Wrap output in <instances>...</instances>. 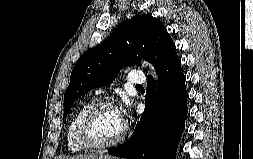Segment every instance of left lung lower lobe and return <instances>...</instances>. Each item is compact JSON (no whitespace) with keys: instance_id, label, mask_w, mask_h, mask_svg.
Instances as JSON below:
<instances>
[{"instance_id":"0a47b994","label":"left lung lower lobe","mask_w":253,"mask_h":159,"mask_svg":"<svg viewBox=\"0 0 253 159\" xmlns=\"http://www.w3.org/2000/svg\"><path fill=\"white\" fill-rule=\"evenodd\" d=\"M159 91L148 77L145 111L131 138L108 152L127 159H175L188 112L185 76L175 53L158 71Z\"/></svg>"}]
</instances>
